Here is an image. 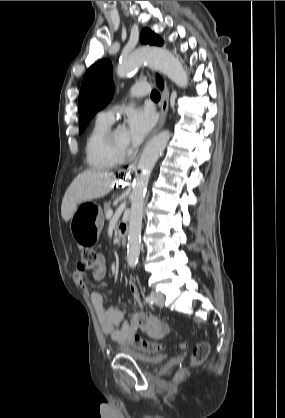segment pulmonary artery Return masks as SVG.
<instances>
[{
  "label": "pulmonary artery",
  "instance_id": "1",
  "mask_svg": "<svg viewBox=\"0 0 285 418\" xmlns=\"http://www.w3.org/2000/svg\"><path fill=\"white\" fill-rule=\"evenodd\" d=\"M149 93V88L147 87V85L143 82L137 83L133 86L132 90H131V95L132 97H140V96H145ZM98 116H100L101 118H104L108 121H112L113 119V113L112 111H101Z\"/></svg>",
  "mask_w": 285,
  "mask_h": 418
}]
</instances>
